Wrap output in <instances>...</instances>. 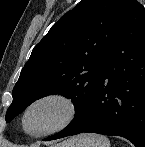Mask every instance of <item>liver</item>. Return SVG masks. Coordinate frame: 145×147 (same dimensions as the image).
Returning <instances> with one entry per match:
<instances>
[{
  "instance_id": "6515ba94",
  "label": "liver",
  "mask_w": 145,
  "mask_h": 147,
  "mask_svg": "<svg viewBox=\"0 0 145 147\" xmlns=\"http://www.w3.org/2000/svg\"><path fill=\"white\" fill-rule=\"evenodd\" d=\"M74 140H75V138H72V139H70V140H68V141H66V142H63V143L57 145V147H59V146H62V147H69L70 144H71Z\"/></svg>"
}]
</instances>
